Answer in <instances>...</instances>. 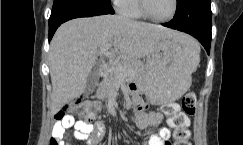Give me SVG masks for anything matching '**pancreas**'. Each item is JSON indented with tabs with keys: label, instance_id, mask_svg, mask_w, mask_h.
<instances>
[{
	"label": "pancreas",
	"instance_id": "1",
	"mask_svg": "<svg viewBox=\"0 0 243 145\" xmlns=\"http://www.w3.org/2000/svg\"><path fill=\"white\" fill-rule=\"evenodd\" d=\"M123 66L125 72L120 71ZM144 65L140 61L122 59L118 62L110 63L104 72L103 81L99 85L98 93L100 97L107 96L119 84L122 75H130L131 77L141 80L144 78Z\"/></svg>",
	"mask_w": 243,
	"mask_h": 145
}]
</instances>
